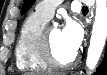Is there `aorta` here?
I'll list each match as a JSON object with an SVG mask.
<instances>
[{"label":"aorta","instance_id":"1","mask_svg":"<svg viewBox=\"0 0 107 75\" xmlns=\"http://www.w3.org/2000/svg\"><path fill=\"white\" fill-rule=\"evenodd\" d=\"M107 40V0H96L95 21L87 52L86 67L91 74L102 54Z\"/></svg>","mask_w":107,"mask_h":75}]
</instances>
